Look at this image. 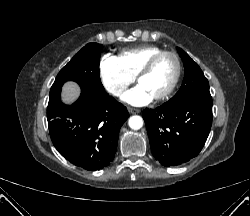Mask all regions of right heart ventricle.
I'll use <instances>...</instances> for the list:
<instances>
[{"instance_id":"obj_1","label":"right heart ventricle","mask_w":250,"mask_h":216,"mask_svg":"<svg viewBox=\"0 0 250 216\" xmlns=\"http://www.w3.org/2000/svg\"><path fill=\"white\" fill-rule=\"evenodd\" d=\"M162 51L158 46L144 45L136 48L123 50L118 59L123 67L134 77L156 53Z\"/></svg>"}]
</instances>
